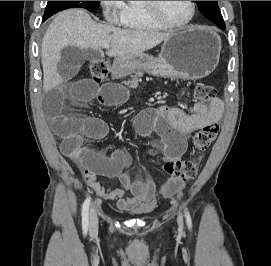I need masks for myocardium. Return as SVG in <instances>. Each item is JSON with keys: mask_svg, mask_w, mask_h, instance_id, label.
<instances>
[{"mask_svg": "<svg viewBox=\"0 0 271 266\" xmlns=\"http://www.w3.org/2000/svg\"><path fill=\"white\" fill-rule=\"evenodd\" d=\"M142 2H143L142 5H143L144 10L150 16V18L165 28H170V29L186 28L193 22L196 15V4L194 3V1H189V4L191 6L190 17L184 23L175 24V23L169 22L167 19H165L161 15L158 9V1H142Z\"/></svg>", "mask_w": 271, "mask_h": 266, "instance_id": "myocardium-1", "label": "myocardium"}]
</instances>
